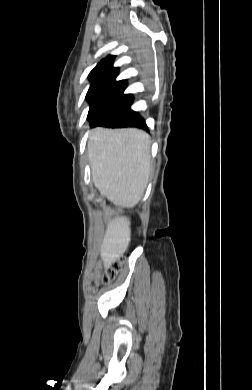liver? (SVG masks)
Instances as JSON below:
<instances>
[{
	"label": "liver",
	"instance_id": "obj_1",
	"mask_svg": "<svg viewBox=\"0 0 252 390\" xmlns=\"http://www.w3.org/2000/svg\"><path fill=\"white\" fill-rule=\"evenodd\" d=\"M88 158L95 187L118 210L141 200L151 171L148 134L134 128H95L89 136ZM130 236L128 218L117 216L107 224L100 246L104 265L125 252Z\"/></svg>",
	"mask_w": 252,
	"mask_h": 390
}]
</instances>
